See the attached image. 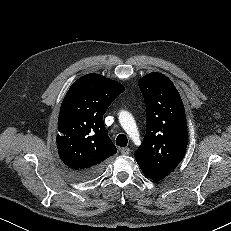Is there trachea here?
I'll use <instances>...</instances> for the list:
<instances>
[{
	"mask_svg": "<svg viewBox=\"0 0 231 231\" xmlns=\"http://www.w3.org/2000/svg\"><path fill=\"white\" fill-rule=\"evenodd\" d=\"M128 139L124 134H119L116 138V144L120 147L127 146Z\"/></svg>",
	"mask_w": 231,
	"mask_h": 231,
	"instance_id": "1",
	"label": "trachea"
}]
</instances>
